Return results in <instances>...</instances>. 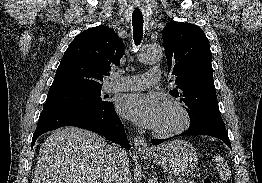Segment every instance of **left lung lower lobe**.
Instances as JSON below:
<instances>
[{
  "label": "left lung lower lobe",
  "instance_id": "1",
  "mask_svg": "<svg viewBox=\"0 0 262 183\" xmlns=\"http://www.w3.org/2000/svg\"><path fill=\"white\" fill-rule=\"evenodd\" d=\"M185 135H209L223 140L230 148V140L228 137V133L226 131L225 125L223 121H208L201 123L199 125L189 127L186 131L179 134L178 136ZM168 140V139H165ZM165 140L154 139L152 140L153 145H157L163 143Z\"/></svg>",
  "mask_w": 262,
  "mask_h": 183
}]
</instances>
